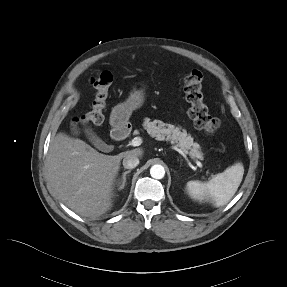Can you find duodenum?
<instances>
[{"label":"duodenum","instance_id":"1","mask_svg":"<svg viewBox=\"0 0 287 287\" xmlns=\"http://www.w3.org/2000/svg\"><path fill=\"white\" fill-rule=\"evenodd\" d=\"M129 124L123 118V115H119V120L113 126L112 138L115 140H123L129 133Z\"/></svg>","mask_w":287,"mask_h":287}]
</instances>
